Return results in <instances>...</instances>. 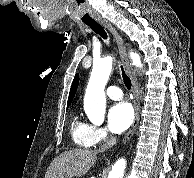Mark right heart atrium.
Segmentation results:
<instances>
[{
  "label": "right heart atrium",
  "instance_id": "d8ad5b80",
  "mask_svg": "<svg viewBox=\"0 0 194 178\" xmlns=\"http://www.w3.org/2000/svg\"><path fill=\"white\" fill-rule=\"evenodd\" d=\"M111 137L104 127L91 125L89 129L88 141L91 146L109 142Z\"/></svg>",
  "mask_w": 194,
  "mask_h": 178
}]
</instances>
